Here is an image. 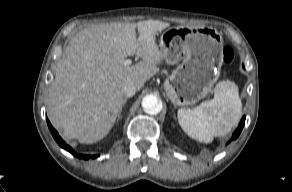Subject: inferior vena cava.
<instances>
[{
	"instance_id": "obj_1",
	"label": "inferior vena cava",
	"mask_w": 292,
	"mask_h": 192,
	"mask_svg": "<svg viewBox=\"0 0 292 192\" xmlns=\"http://www.w3.org/2000/svg\"><path fill=\"white\" fill-rule=\"evenodd\" d=\"M137 90H138L137 86L133 84L132 82H127L123 86V91L126 97L133 96Z\"/></svg>"
}]
</instances>
